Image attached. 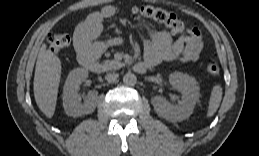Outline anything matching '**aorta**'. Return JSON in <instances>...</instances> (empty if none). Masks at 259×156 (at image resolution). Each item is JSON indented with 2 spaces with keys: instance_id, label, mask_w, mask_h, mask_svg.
Here are the masks:
<instances>
[{
  "instance_id": "1",
  "label": "aorta",
  "mask_w": 259,
  "mask_h": 156,
  "mask_svg": "<svg viewBox=\"0 0 259 156\" xmlns=\"http://www.w3.org/2000/svg\"><path fill=\"white\" fill-rule=\"evenodd\" d=\"M123 83L127 86H134L137 83V78L133 73H126L123 77Z\"/></svg>"
}]
</instances>
